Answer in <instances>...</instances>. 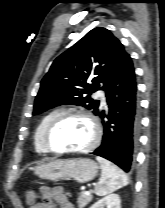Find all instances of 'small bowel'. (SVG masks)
<instances>
[{"instance_id":"obj_1","label":"small bowel","mask_w":165,"mask_h":208,"mask_svg":"<svg viewBox=\"0 0 165 208\" xmlns=\"http://www.w3.org/2000/svg\"><path fill=\"white\" fill-rule=\"evenodd\" d=\"M40 195L42 202L30 205L29 208H75L68 200L64 189L60 186L57 187H40Z\"/></svg>"}]
</instances>
